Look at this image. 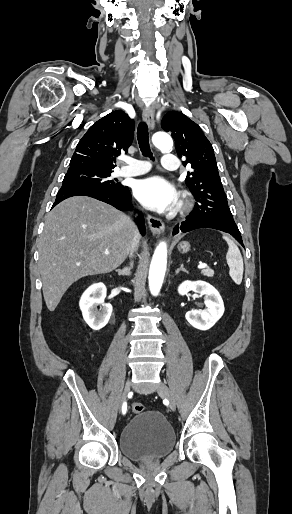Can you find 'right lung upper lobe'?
<instances>
[{
  "label": "right lung upper lobe",
  "instance_id": "right-lung-upper-lobe-1",
  "mask_svg": "<svg viewBox=\"0 0 292 514\" xmlns=\"http://www.w3.org/2000/svg\"><path fill=\"white\" fill-rule=\"evenodd\" d=\"M134 121L116 110L95 122L79 141L68 172H105L116 166V157L127 153L133 141Z\"/></svg>",
  "mask_w": 292,
  "mask_h": 514
}]
</instances>
